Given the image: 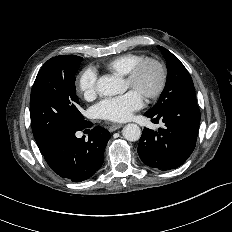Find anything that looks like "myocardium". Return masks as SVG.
<instances>
[{
  "label": "myocardium",
  "instance_id": "1",
  "mask_svg": "<svg viewBox=\"0 0 232 232\" xmlns=\"http://www.w3.org/2000/svg\"><path fill=\"white\" fill-rule=\"evenodd\" d=\"M147 66H153L158 73V79L155 88L143 95L146 99L153 100L158 98L163 93L167 83V70L161 60L154 57L143 58L131 68V70L126 75V79L130 87L135 88L142 71Z\"/></svg>",
  "mask_w": 232,
  "mask_h": 232
}]
</instances>
